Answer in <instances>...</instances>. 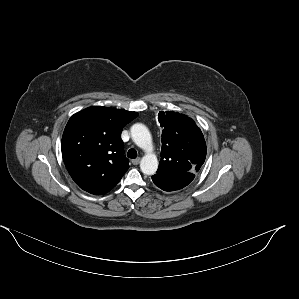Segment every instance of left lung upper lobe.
I'll use <instances>...</instances> for the list:
<instances>
[{
    "instance_id": "1",
    "label": "left lung upper lobe",
    "mask_w": 299,
    "mask_h": 299,
    "mask_svg": "<svg viewBox=\"0 0 299 299\" xmlns=\"http://www.w3.org/2000/svg\"><path fill=\"white\" fill-rule=\"evenodd\" d=\"M158 119L164 129L157 173L194 175L206 158V143L200 128L188 116L174 111H161Z\"/></svg>"
}]
</instances>
